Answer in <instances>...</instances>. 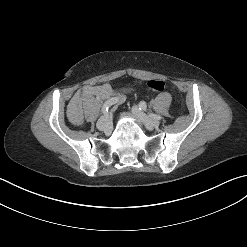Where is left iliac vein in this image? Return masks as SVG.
<instances>
[{"mask_svg": "<svg viewBox=\"0 0 247 247\" xmlns=\"http://www.w3.org/2000/svg\"><path fill=\"white\" fill-rule=\"evenodd\" d=\"M132 113L137 119L142 122L143 125L148 128H156L160 125L159 120L150 118L136 105L132 107Z\"/></svg>", "mask_w": 247, "mask_h": 247, "instance_id": "4c4485c4", "label": "left iliac vein"}]
</instances>
